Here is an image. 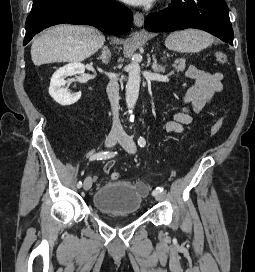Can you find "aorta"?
<instances>
[{
	"mask_svg": "<svg viewBox=\"0 0 255 272\" xmlns=\"http://www.w3.org/2000/svg\"><path fill=\"white\" fill-rule=\"evenodd\" d=\"M139 55L132 57V62L128 65V81L126 84V105L129 111L134 108L138 95L141 82V69L139 65Z\"/></svg>",
	"mask_w": 255,
	"mask_h": 272,
	"instance_id": "obj_1",
	"label": "aorta"
}]
</instances>
